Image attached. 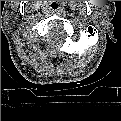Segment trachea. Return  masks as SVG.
I'll use <instances>...</instances> for the list:
<instances>
[{"mask_svg":"<svg viewBox=\"0 0 121 121\" xmlns=\"http://www.w3.org/2000/svg\"><path fill=\"white\" fill-rule=\"evenodd\" d=\"M50 8L52 11L57 12L60 10L61 6L57 2H53V3H51Z\"/></svg>","mask_w":121,"mask_h":121,"instance_id":"obj_1","label":"trachea"}]
</instances>
